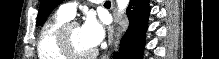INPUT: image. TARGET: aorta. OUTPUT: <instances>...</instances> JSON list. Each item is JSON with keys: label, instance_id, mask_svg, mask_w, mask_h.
<instances>
[{"label": "aorta", "instance_id": "1", "mask_svg": "<svg viewBox=\"0 0 219 59\" xmlns=\"http://www.w3.org/2000/svg\"><path fill=\"white\" fill-rule=\"evenodd\" d=\"M129 4V0H117L118 11L120 13L124 12Z\"/></svg>", "mask_w": 219, "mask_h": 59}]
</instances>
